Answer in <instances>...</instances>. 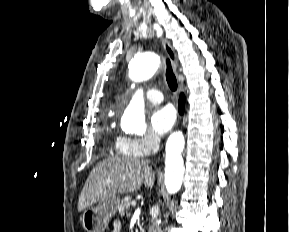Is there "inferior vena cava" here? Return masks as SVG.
Wrapping results in <instances>:
<instances>
[{"mask_svg":"<svg viewBox=\"0 0 289 232\" xmlns=\"http://www.w3.org/2000/svg\"><path fill=\"white\" fill-rule=\"evenodd\" d=\"M160 148V139L157 136L152 137V154L158 152ZM159 208L155 209L154 214L149 222V232H162L161 227L158 223Z\"/></svg>","mask_w":289,"mask_h":232,"instance_id":"1","label":"inferior vena cava"}]
</instances>
